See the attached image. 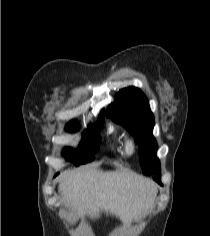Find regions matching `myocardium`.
Instances as JSON below:
<instances>
[{
  "label": "myocardium",
  "instance_id": "myocardium-1",
  "mask_svg": "<svg viewBox=\"0 0 210 236\" xmlns=\"http://www.w3.org/2000/svg\"><path fill=\"white\" fill-rule=\"evenodd\" d=\"M137 148L134 140L130 139L126 142V151L128 154H133Z\"/></svg>",
  "mask_w": 210,
  "mask_h": 236
}]
</instances>
